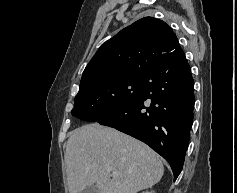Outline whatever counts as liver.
I'll list each match as a JSON object with an SVG mask.
<instances>
[{"instance_id":"obj_1","label":"liver","mask_w":237,"mask_h":193,"mask_svg":"<svg viewBox=\"0 0 237 193\" xmlns=\"http://www.w3.org/2000/svg\"><path fill=\"white\" fill-rule=\"evenodd\" d=\"M65 162L70 193H80L93 184L100 193H137L157 184L164 174L162 160L150 147L98 124L70 133Z\"/></svg>"}]
</instances>
